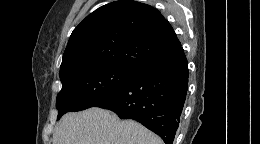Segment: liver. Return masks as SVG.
Instances as JSON below:
<instances>
[{
  "mask_svg": "<svg viewBox=\"0 0 260 144\" xmlns=\"http://www.w3.org/2000/svg\"><path fill=\"white\" fill-rule=\"evenodd\" d=\"M53 144H163L162 140L133 120L121 121L109 110L92 107L67 113L53 134Z\"/></svg>",
  "mask_w": 260,
  "mask_h": 144,
  "instance_id": "liver-1",
  "label": "liver"
}]
</instances>
